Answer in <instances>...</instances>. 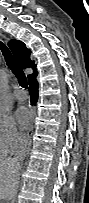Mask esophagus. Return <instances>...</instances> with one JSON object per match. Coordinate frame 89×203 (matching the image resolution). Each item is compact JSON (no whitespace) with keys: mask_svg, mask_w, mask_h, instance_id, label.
I'll list each match as a JSON object with an SVG mask.
<instances>
[{"mask_svg":"<svg viewBox=\"0 0 89 203\" xmlns=\"http://www.w3.org/2000/svg\"><path fill=\"white\" fill-rule=\"evenodd\" d=\"M32 131H33V125H31L30 129H29V141H28V147H30L31 145V134H32Z\"/></svg>","mask_w":89,"mask_h":203,"instance_id":"esophagus-1","label":"esophagus"}]
</instances>
